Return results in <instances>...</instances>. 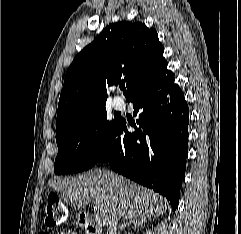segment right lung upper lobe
<instances>
[{
	"instance_id": "obj_1",
	"label": "right lung upper lobe",
	"mask_w": 241,
	"mask_h": 234,
	"mask_svg": "<svg viewBox=\"0 0 241 234\" xmlns=\"http://www.w3.org/2000/svg\"><path fill=\"white\" fill-rule=\"evenodd\" d=\"M155 29L121 21L108 25L73 60L60 94L56 131L105 107L107 86L126 82V100L167 64Z\"/></svg>"
}]
</instances>
